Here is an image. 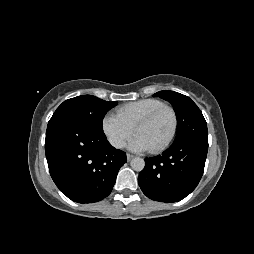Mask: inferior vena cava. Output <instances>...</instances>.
<instances>
[{
  "mask_svg": "<svg viewBox=\"0 0 254 254\" xmlns=\"http://www.w3.org/2000/svg\"><path fill=\"white\" fill-rule=\"evenodd\" d=\"M112 145L116 148H123L125 146V143L120 140H115L112 142Z\"/></svg>",
  "mask_w": 254,
  "mask_h": 254,
  "instance_id": "obj_1",
  "label": "inferior vena cava"
}]
</instances>
